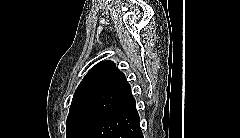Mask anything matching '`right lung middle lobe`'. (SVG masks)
Returning <instances> with one entry per match:
<instances>
[{
	"mask_svg": "<svg viewBox=\"0 0 240 138\" xmlns=\"http://www.w3.org/2000/svg\"><path fill=\"white\" fill-rule=\"evenodd\" d=\"M107 116L105 113L88 112L67 117V138H86Z\"/></svg>",
	"mask_w": 240,
	"mask_h": 138,
	"instance_id": "1",
	"label": "right lung middle lobe"
}]
</instances>
